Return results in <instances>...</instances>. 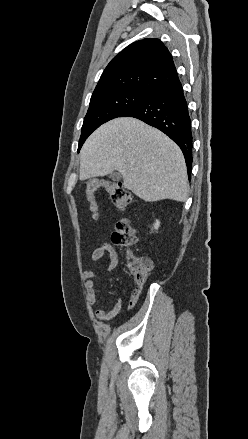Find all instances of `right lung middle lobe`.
Segmentation results:
<instances>
[{
	"label": "right lung middle lobe",
	"instance_id": "right-lung-middle-lobe-1",
	"mask_svg": "<svg viewBox=\"0 0 248 439\" xmlns=\"http://www.w3.org/2000/svg\"><path fill=\"white\" fill-rule=\"evenodd\" d=\"M148 94L138 91H118L91 99L88 112L84 118L78 151L101 124L120 117L127 110L143 101Z\"/></svg>",
	"mask_w": 248,
	"mask_h": 439
}]
</instances>
